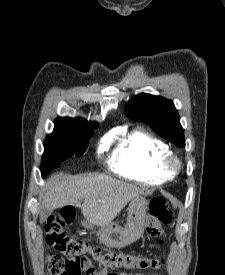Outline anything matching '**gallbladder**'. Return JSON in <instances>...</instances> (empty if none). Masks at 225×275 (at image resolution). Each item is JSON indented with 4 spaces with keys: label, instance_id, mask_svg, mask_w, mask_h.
<instances>
[{
    "label": "gallbladder",
    "instance_id": "1",
    "mask_svg": "<svg viewBox=\"0 0 225 275\" xmlns=\"http://www.w3.org/2000/svg\"><path fill=\"white\" fill-rule=\"evenodd\" d=\"M51 214H52V210L46 207H42L40 209V221L41 222L45 221Z\"/></svg>",
    "mask_w": 225,
    "mask_h": 275
}]
</instances>
